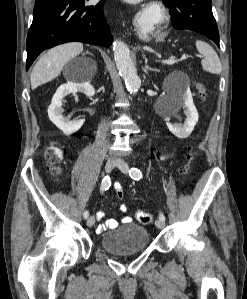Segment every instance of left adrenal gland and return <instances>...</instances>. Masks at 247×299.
Wrapping results in <instances>:
<instances>
[{
	"label": "left adrenal gland",
	"instance_id": "a2214340",
	"mask_svg": "<svg viewBox=\"0 0 247 299\" xmlns=\"http://www.w3.org/2000/svg\"><path fill=\"white\" fill-rule=\"evenodd\" d=\"M145 71H154V72H159L158 69L156 68H152V67H149V65H147V63L145 64Z\"/></svg>",
	"mask_w": 247,
	"mask_h": 299
}]
</instances>
